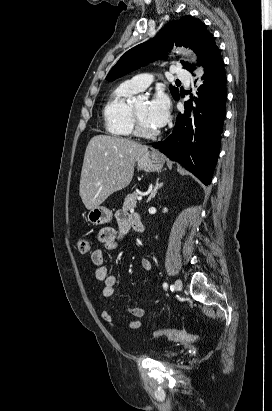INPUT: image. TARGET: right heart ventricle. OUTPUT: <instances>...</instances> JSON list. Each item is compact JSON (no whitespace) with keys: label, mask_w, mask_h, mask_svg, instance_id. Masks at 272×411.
Returning a JSON list of instances; mask_svg holds the SVG:
<instances>
[{"label":"right heart ventricle","mask_w":272,"mask_h":411,"mask_svg":"<svg viewBox=\"0 0 272 411\" xmlns=\"http://www.w3.org/2000/svg\"><path fill=\"white\" fill-rule=\"evenodd\" d=\"M128 82L121 83L112 91L104 108L103 116L107 131L114 136L129 137L132 134L130 121V97L136 93Z\"/></svg>","instance_id":"1"}]
</instances>
